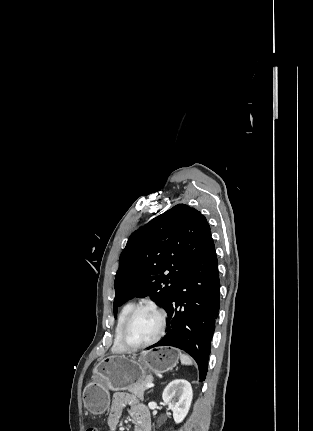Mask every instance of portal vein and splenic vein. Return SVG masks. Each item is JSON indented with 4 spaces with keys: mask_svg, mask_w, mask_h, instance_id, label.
<instances>
[{
    "mask_svg": "<svg viewBox=\"0 0 313 431\" xmlns=\"http://www.w3.org/2000/svg\"><path fill=\"white\" fill-rule=\"evenodd\" d=\"M145 387L151 388V387H154V384L151 383V382H148V383L145 384Z\"/></svg>",
    "mask_w": 313,
    "mask_h": 431,
    "instance_id": "portal-vein-and-splenic-vein-1",
    "label": "portal vein and splenic vein"
}]
</instances>
